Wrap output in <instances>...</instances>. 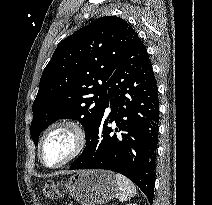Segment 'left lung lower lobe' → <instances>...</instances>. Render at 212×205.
<instances>
[{"label":"left lung lower lobe","instance_id":"obj_1","mask_svg":"<svg viewBox=\"0 0 212 205\" xmlns=\"http://www.w3.org/2000/svg\"><path fill=\"white\" fill-rule=\"evenodd\" d=\"M108 96L83 153L70 169L118 172L134 182L152 204L159 99L152 64L137 33L108 80ZM112 122L116 128L108 126Z\"/></svg>","mask_w":212,"mask_h":205}]
</instances>
